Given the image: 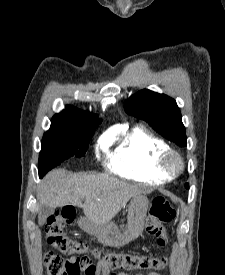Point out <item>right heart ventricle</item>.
<instances>
[{
    "mask_svg": "<svg viewBox=\"0 0 225 275\" xmlns=\"http://www.w3.org/2000/svg\"><path fill=\"white\" fill-rule=\"evenodd\" d=\"M115 137L120 138L108 160L112 173L143 185H158L172 179L159 164L160 156L169 149L162 138L142 127L110 136L111 141Z\"/></svg>",
    "mask_w": 225,
    "mask_h": 275,
    "instance_id": "1",
    "label": "right heart ventricle"
}]
</instances>
